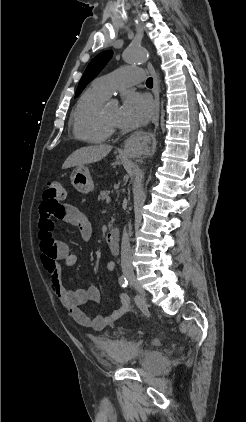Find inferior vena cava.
I'll return each instance as SVG.
<instances>
[{
    "mask_svg": "<svg viewBox=\"0 0 246 422\" xmlns=\"http://www.w3.org/2000/svg\"><path fill=\"white\" fill-rule=\"evenodd\" d=\"M121 266L124 272L133 273L130 240L126 228L123 230L121 242Z\"/></svg>",
    "mask_w": 246,
    "mask_h": 422,
    "instance_id": "1",
    "label": "inferior vena cava"
}]
</instances>
